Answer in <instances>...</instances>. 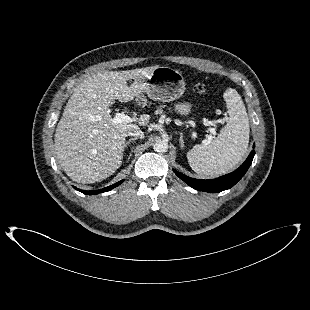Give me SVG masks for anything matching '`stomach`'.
I'll return each mask as SVG.
<instances>
[{
    "mask_svg": "<svg viewBox=\"0 0 310 310\" xmlns=\"http://www.w3.org/2000/svg\"><path fill=\"white\" fill-rule=\"evenodd\" d=\"M185 91V81L182 73L168 66H158L149 77L145 91L136 97L139 103H145L146 97L152 100L171 102L180 98ZM174 110L183 116L192 111V104L180 102L174 106Z\"/></svg>",
    "mask_w": 310,
    "mask_h": 310,
    "instance_id": "1",
    "label": "stomach"
}]
</instances>
